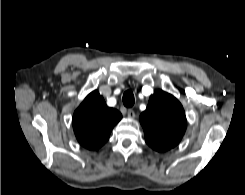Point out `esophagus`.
<instances>
[{
    "label": "esophagus",
    "instance_id": "34e87169",
    "mask_svg": "<svg viewBox=\"0 0 245 195\" xmlns=\"http://www.w3.org/2000/svg\"><path fill=\"white\" fill-rule=\"evenodd\" d=\"M127 116L129 117V118H135V112H134V110L133 109H129L128 111H127Z\"/></svg>",
    "mask_w": 245,
    "mask_h": 195
}]
</instances>
